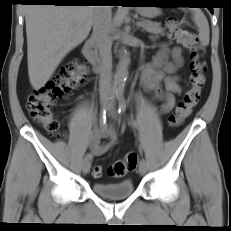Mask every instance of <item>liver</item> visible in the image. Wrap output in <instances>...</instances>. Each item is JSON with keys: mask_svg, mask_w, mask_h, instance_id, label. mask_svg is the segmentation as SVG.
I'll use <instances>...</instances> for the list:
<instances>
[{"mask_svg": "<svg viewBox=\"0 0 231 231\" xmlns=\"http://www.w3.org/2000/svg\"><path fill=\"white\" fill-rule=\"evenodd\" d=\"M95 6L24 7L28 75L32 87L46 85L65 56L89 35Z\"/></svg>", "mask_w": 231, "mask_h": 231, "instance_id": "6515ba94", "label": "liver"}]
</instances>
